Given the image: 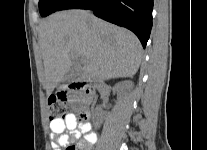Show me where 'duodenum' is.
Segmentation results:
<instances>
[{
	"instance_id": "410a0bca",
	"label": "duodenum",
	"mask_w": 207,
	"mask_h": 150,
	"mask_svg": "<svg viewBox=\"0 0 207 150\" xmlns=\"http://www.w3.org/2000/svg\"><path fill=\"white\" fill-rule=\"evenodd\" d=\"M69 87L71 90L82 91L87 98H92L95 93V89L93 86H91L89 84H85L79 80L72 81L69 84ZM82 112L84 113L85 117H86V114L89 115V113H90L88 109L86 110V112L85 111H82Z\"/></svg>"
}]
</instances>
